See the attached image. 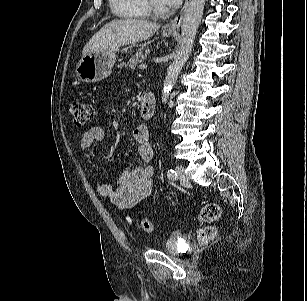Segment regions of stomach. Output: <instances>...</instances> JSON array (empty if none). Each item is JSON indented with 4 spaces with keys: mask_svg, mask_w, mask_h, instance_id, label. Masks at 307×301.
<instances>
[{
    "mask_svg": "<svg viewBox=\"0 0 307 301\" xmlns=\"http://www.w3.org/2000/svg\"><path fill=\"white\" fill-rule=\"evenodd\" d=\"M172 35L170 31H163L164 37ZM117 50L90 53L79 61L75 72L79 80L86 83L98 82L108 77L116 62Z\"/></svg>",
    "mask_w": 307,
    "mask_h": 301,
    "instance_id": "stomach-1",
    "label": "stomach"
}]
</instances>
